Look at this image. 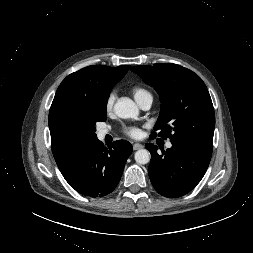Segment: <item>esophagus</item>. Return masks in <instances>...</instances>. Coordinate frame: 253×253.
<instances>
[{
    "label": "esophagus",
    "instance_id": "esophagus-1",
    "mask_svg": "<svg viewBox=\"0 0 253 253\" xmlns=\"http://www.w3.org/2000/svg\"><path fill=\"white\" fill-rule=\"evenodd\" d=\"M141 148H143V145H142V144H139V143L133 144V149H134V150H139V149H141Z\"/></svg>",
    "mask_w": 253,
    "mask_h": 253
}]
</instances>
